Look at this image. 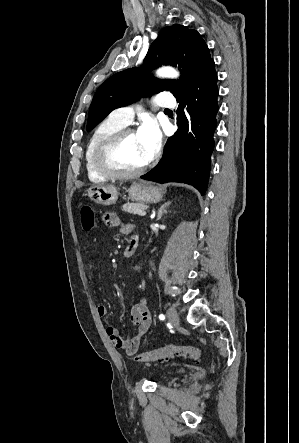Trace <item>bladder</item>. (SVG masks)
<instances>
[{"mask_svg": "<svg viewBox=\"0 0 299 443\" xmlns=\"http://www.w3.org/2000/svg\"><path fill=\"white\" fill-rule=\"evenodd\" d=\"M157 371L163 377L169 376L173 373V370L170 367H159Z\"/></svg>", "mask_w": 299, "mask_h": 443, "instance_id": "bladder-1", "label": "bladder"}]
</instances>
